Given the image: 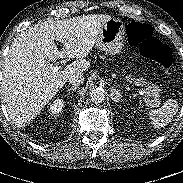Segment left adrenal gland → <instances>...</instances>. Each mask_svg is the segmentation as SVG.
<instances>
[{
    "mask_svg": "<svg viewBox=\"0 0 183 183\" xmlns=\"http://www.w3.org/2000/svg\"><path fill=\"white\" fill-rule=\"evenodd\" d=\"M110 97L113 101L115 102H119L120 98H121V94L119 92V90L115 89L113 86L111 87L110 90Z\"/></svg>",
    "mask_w": 183,
    "mask_h": 183,
    "instance_id": "1",
    "label": "left adrenal gland"
}]
</instances>
